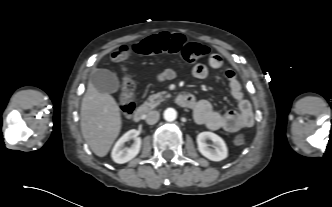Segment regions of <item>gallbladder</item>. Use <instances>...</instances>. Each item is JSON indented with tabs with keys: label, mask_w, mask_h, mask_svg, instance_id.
<instances>
[{
	"label": "gallbladder",
	"mask_w": 332,
	"mask_h": 207,
	"mask_svg": "<svg viewBox=\"0 0 332 207\" xmlns=\"http://www.w3.org/2000/svg\"><path fill=\"white\" fill-rule=\"evenodd\" d=\"M95 89L101 93H115L119 89V81L114 73L107 69H97L90 77Z\"/></svg>",
	"instance_id": "obj_1"
}]
</instances>
